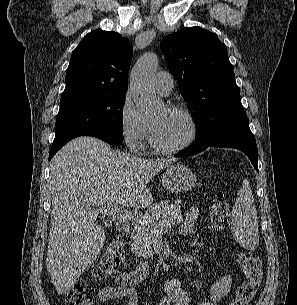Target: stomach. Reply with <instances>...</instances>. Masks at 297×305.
<instances>
[{"label":"stomach","mask_w":297,"mask_h":305,"mask_svg":"<svg viewBox=\"0 0 297 305\" xmlns=\"http://www.w3.org/2000/svg\"><path fill=\"white\" fill-rule=\"evenodd\" d=\"M163 186L170 192H186L197 184L195 174L182 164L169 166L162 176Z\"/></svg>","instance_id":"0dacf381"}]
</instances>
